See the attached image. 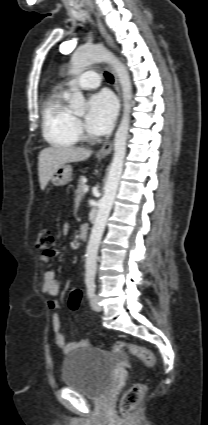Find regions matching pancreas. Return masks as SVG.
Wrapping results in <instances>:
<instances>
[{
    "instance_id": "pancreas-1",
    "label": "pancreas",
    "mask_w": 208,
    "mask_h": 425,
    "mask_svg": "<svg viewBox=\"0 0 208 425\" xmlns=\"http://www.w3.org/2000/svg\"><path fill=\"white\" fill-rule=\"evenodd\" d=\"M85 177L82 176L80 177V180L78 182V186L77 189L75 190V205H74V211H77L79 204L85 194V192L83 191V187L85 186V182H84Z\"/></svg>"
}]
</instances>
